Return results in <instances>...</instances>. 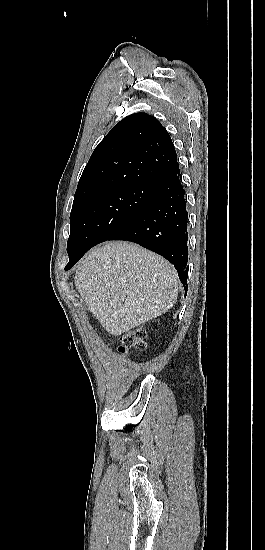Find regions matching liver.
<instances>
[{
  "label": "liver",
  "mask_w": 265,
  "mask_h": 550,
  "mask_svg": "<svg viewBox=\"0 0 265 550\" xmlns=\"http://www.w3.org/2000/svg\"><path fill=\"white\" fill-rule=\"evenodd\" d=\"M75 286L105 330L119 336L167 312L177 300L180 281L160 255L113 241L82 258Z\"/></svg>",
  "instance_id": "liver-1"
}]
</instances>
